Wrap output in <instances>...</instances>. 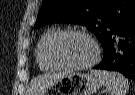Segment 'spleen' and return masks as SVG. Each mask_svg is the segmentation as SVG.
<instances>
[{
  "instance_id": "1",
  "label": "spleen",
  "mask_w": 135,
  "mask_h": 95,
  "mask_svg": "<svg viewBox=\"0 0 135 95\" xmlns=\"http://www.w3.org/2000/svg\"><path fill=\"white\" fill-rule=\"evenodd\" d=\"M92 75L97 76L106 87L109 95H126L129 90L128 80L119 73L105 70H92Z\"/></svg>"
}]
</instances>
